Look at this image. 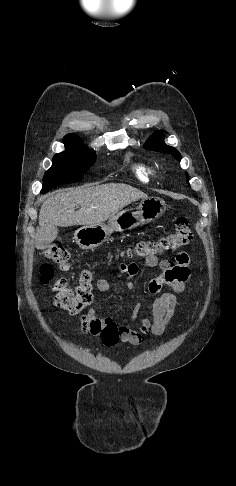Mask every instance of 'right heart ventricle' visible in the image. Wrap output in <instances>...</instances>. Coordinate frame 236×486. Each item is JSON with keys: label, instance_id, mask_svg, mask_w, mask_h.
Wrapping results in <instances>:
<instances>
[{"label": "right heart ventricle", "instance_id": "obj_1", "mask_svg": "<svg viewBox=\"0 0 236 486\" xmlns=\"http://www.w3.org/2000/svg\"><path fill=\"white\" fill-rule=\"evenodd\" d=\"M134 172L142 182H149L156 174L155 168L147 163H139L134 167Z\"/></svg>", "mask_w": 236, "mask_h": 486}]
</instances>
